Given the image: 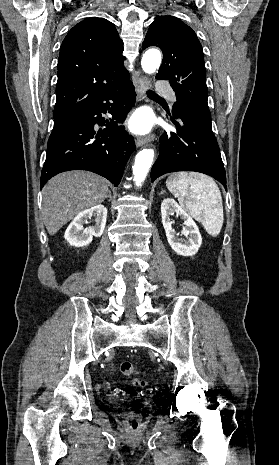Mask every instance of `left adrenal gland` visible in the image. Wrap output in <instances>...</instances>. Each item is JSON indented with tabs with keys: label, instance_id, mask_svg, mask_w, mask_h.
<instances>
[{
	"label": "left adrenal gland",
	"instance_id": "1",
	"mask_svg": "<svg viewBox=\"0 0 279 465\" xmlns=\"http://www.w3.org/2000/svg\"><path fill=\"white\" fill-rule=\"evenodd\" d=\"M163 193H166V191H165V190H161V193H160V194H163Z\"/></svg>",
	"mask_w": 279,
	"mask_h": 465
}]
</instances>
